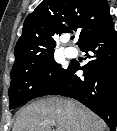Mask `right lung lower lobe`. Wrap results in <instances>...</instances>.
Returning <instances> with one entry per match:
<instances>
[{
    "mask_svg": "<svg viewBox=\"0 0 117 131\" xmlns=\"http://www.w3.org/2000/svg\"><path fill=\"white\" fill-rule=\"evenodd\" d=\"M85 59L82 67L71 63L62 87L53 94L78 100L104 119L111 131L117 125V33L114 25L82 45ZM82 70L83 76L75 75Z\"/></svg>",
    "mask_w": 117,
    "mask_h": 131,
    "instance_id": "obj_1",
    "label": "right lung lower lobe"
}]
</instances>
